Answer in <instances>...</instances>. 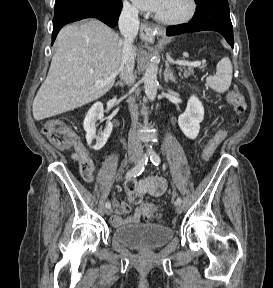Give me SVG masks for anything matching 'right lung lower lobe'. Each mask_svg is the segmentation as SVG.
Here are the masks:
<instances>
[{
    "mask_svg": "<svg viewBox=\"0 0 273 288\" xmlns=\"http://www.w3.org/2000/svg\"><path fill=\"white\" fill-rule=\"evenodd\" d=\"M54 9L52 44L64 25L84 18H97L110 27L116 26L122 9V1L115 0L109 4L96 0L66 2L55 5Z\"/></svg>",
    "mask_w": 273,
    "mask_h": 288,
    "instance_id": "right-lung-lower-lobe-1",
    "label": "right lung lower lobe"
}]
</instances>
